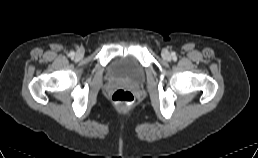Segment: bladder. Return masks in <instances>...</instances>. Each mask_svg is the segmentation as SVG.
Returning a JSON list of instances; mask_svg holds the SVG:
<instances>
[{
	"label": "bladder",
	"mask_w": 258,
	"mask_h": 158,
	"mask_svg": "<svg viewBox=\"0 0 258 158\" xmlns=\"http://www.w3.org/2000/svg\"><path fill=\"white\" fill-rule=\"evenodd\" d=\"M110 73L115 78H123L131 81H140L143 79L144 67L132 57H119L110 65Z\"/></svg>",
	"instance_id": "1"
}]
</instances>
